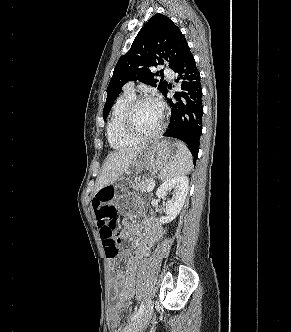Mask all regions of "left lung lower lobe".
Returning <instances> with one entry per match:
<instances>
[{"instance_id":"left-lung-lower-lobe-1","label":"left lung lower lobe","mask_w":291,"mask_h":332,"mask_svg":"<svg viewBox=\"0 0 291 332\" xmlns=\"http://www.w3.org/2000/svg\"><path fill=\"white\" fill-rule=\"evenodd\" d=\"M173 70L179 75L175 82L181 86V91L175 93L173 100L168 99L172 107L171 119L163 136L185 142L196 161L199 148L192 151L191 146L199 142L202 134V87L200 73L188 45ZM163 95L166 96L167 92Z\"/></svg>"}]
</instances>
